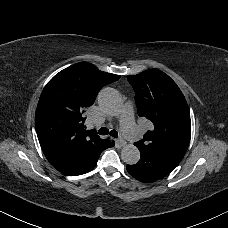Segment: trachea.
Here are the masks:
<instances>
[{
  "mask_svg": "<svg viewBox=\"0 0 228 228\" xmlns=\"http://www.w3.org/2000/svg\"><path fill=\"white\" fill-rule=\"evenodd\" d=\"M99 134L101 135H108L110 134L112 137L117 138L118 137V133L116 130H109L107 127H102L99 129L98 131Z\"/></svg>",
  "mask_w": 228,
  "mask_h": 228,
  "instance_id": "obj_1",
  "label": "trachea"
}]
</instances>
